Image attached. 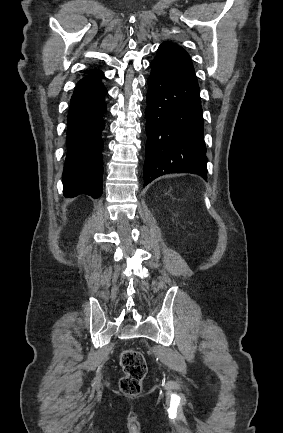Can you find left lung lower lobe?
Listing matches in <instances>:
<instances>
[{"instance_id":"left-lung-lower-lobe-1","label":"left lung lower lobe","mask_w":283,"mask_h":433,"mask_svg":"<svg viewBox=\"0 0 283 433\" xmlns=\"http://www.w3.org/2000/svg\"><path fill=\"white\" fill-rule=\"evenodd\" d=\"M150 66L144 186L170 173L207 180L200 89L192 61L183 48L164 42Z\"/></svg>"}]
</instances>
